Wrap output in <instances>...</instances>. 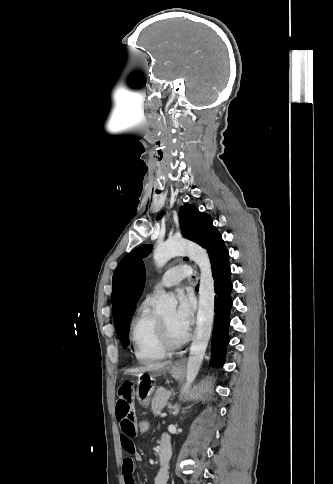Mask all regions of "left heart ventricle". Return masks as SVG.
<instances>
[{"label": "left heart ventricle", "instance_id": "obj_1", "mask_svg": "<svg viewBox=\"0 0 333 484\" xmlns=\"http://www.w3.org/2000/svg\"><path fill=\"white\" fill-rule=\"evenodd\" d=\"M174 313H175L174 311H169V312L161 315L160 318L165 322L170 336L174 339H179L184 335V333L181 332L176 327V325L174 323Z\"/></svg>", "mask_w": 333, "mask_h": 484}]
</instances>
